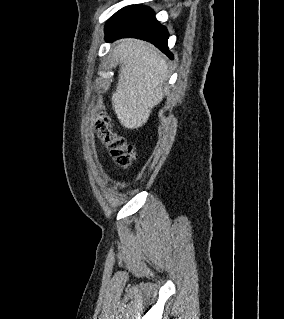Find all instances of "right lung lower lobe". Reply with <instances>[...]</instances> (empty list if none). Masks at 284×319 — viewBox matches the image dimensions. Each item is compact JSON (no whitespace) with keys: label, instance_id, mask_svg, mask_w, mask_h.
Wrapping results in <instances>:
<instances>
[{"label":"right lung lower lobe","instance_id":"98d812e1","mask_svg":"<svg viewBox=\"0 0 284 319\" xmlns=\"http://www.w3.org/2000/svg\"><path fill=\"white\" fill-rule=\"evenodd\" d=\"M105 39L134 37L153 43L163 53L173 59L167 47V29L155 18L153 10L142 5H134L110 26L105 28Z\"/></svg>","mask_w":284,"mask_h":319}]
</instances>
